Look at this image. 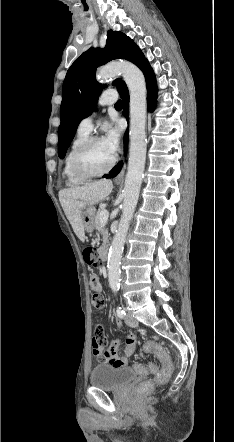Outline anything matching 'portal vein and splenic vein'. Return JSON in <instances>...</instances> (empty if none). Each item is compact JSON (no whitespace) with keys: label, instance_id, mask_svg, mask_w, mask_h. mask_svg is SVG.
<instances>
[{"label":"portal vein and splenic vein","instance_id":"18ae733b","mask_svg":"<svg viewBox=\"0 0 234 442\" xmlns=\"http://www.w3.org/2000/svg\"><path fill=\"white\" fill-rule=\"evenodd\" d=\"M108 217H109V212H108L107 210H103V211L100 213V222H101V223H105V222H107Z\"/></svg>","mask_w":234,"mask_h":442}]
</instances>
